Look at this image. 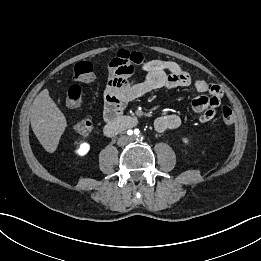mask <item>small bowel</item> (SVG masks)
I'll return each instance as SVG.
<instances>
[{
  "mask_svg": "<svg viewBox=\"0 0 261 261\" xmlns=\"http://www.w3.org/2000/svg\"><path fill=\"white\" fill-rule=\"evenodd\" d=\"M146 73L144 79L130 81L132 71L112 61L107 70V87L105 91L106 121L120 117L125 105L143 95L163 88H179L192 86L199 95L192 102L195 112L201 113L200 123L210 121L223 98V91L217 84L203 79H193L190 73L175 61L152 60L143 65ZM181 119L176 114L159 116L154 121L158 132H165L179 127Z\"/></svg>",
  "mask_w": 261,
  "mask_h": 261,
  "instance_id": "small-bowel-1",
  "label": "small bowel"
}]
</instances>
